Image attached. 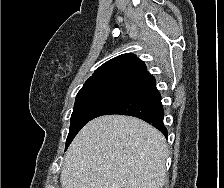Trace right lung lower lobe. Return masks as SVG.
I'll list each match as a JSON object with an SVG mask.
<instances>
[{"label":"right lung lower lobe","mask_w":224,"mask_h":188,"mask_svg":"<svg viewBox=\"0 0 224 188\" xmlns=\"http://www.w3.org/2000/svg\"><path fill=\"white\" fill-rule=\"evenodd\" d=\"M109 114L140 118L160 130L167 137L163 124L164 111L155 78L147 71L131 80L124 88L103 104L91 120Z\"/></svg>","instance_id":"98d812e1"}]
</instances>
